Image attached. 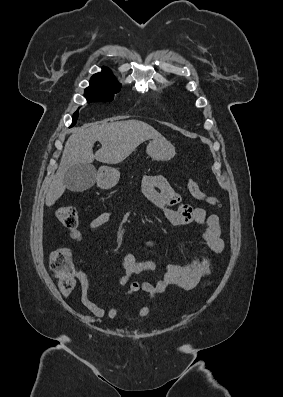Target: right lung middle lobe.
Here are the masks:
<instances>
[{"label":"right lung middle lobe","instance_id":"right-lung-middle-lobe-1","mask_svg":"<svg viewBox=\"0 0 283 397\" xmlns=\"http://www.w3.org/2000/svg\"><path fill=\"white\" fill-rule=\"evenodd\" d=\"M121 84L117 81H90V86L86 88L84 96L90 102H111L114 94L120 91ZM78 111L73 115L72 125L76 123Z\"/></svg>","mask_w":283,"mask_h":397}]
</instances>
